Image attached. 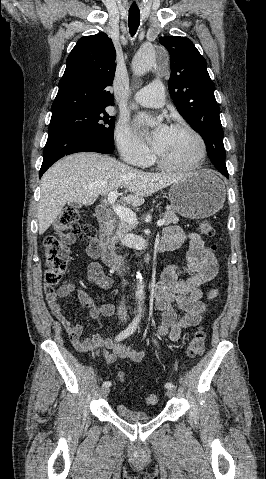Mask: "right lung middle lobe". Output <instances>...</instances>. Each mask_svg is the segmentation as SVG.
I'll list each match as a JSON object with an SVG mask.
<instances>
[{
	"label": "right lung middle lobe",
	"mask_w": 266,
	"mask_h": 479,
	"mask_svg": "<svg viewBox=\"0 0 266 479\" xmlns=\"http://www.w3.org/2000/svg\"><path fill=\"white\" fill-rule=\"evenodd\" d=\"M114 126V117L105 108H77L52 113L49 131H69L114 143Z\"/></svg>",
	"instance_id": "obj_1"
}]
</instances>
